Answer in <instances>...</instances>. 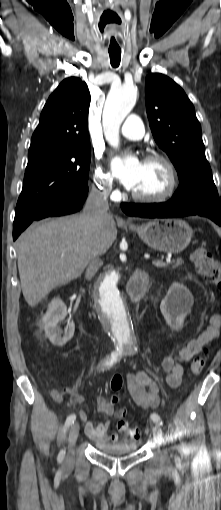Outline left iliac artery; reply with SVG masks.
I'll use <instances>...</instances> for the list:
<instances>
[{"label": "left iliac artery", "mask_w": 221, "mask_h": 510, "mask_svg": "<svg viewBox=\"0 0 221 510\" xmlns=\"http://www.w3.org/2000/svg\"><path fill=\"white\" fill-rule=\"evenodd\" d=\"M151 419L154 422L159 423L160 425H163V422L158 414H156V413L151 414Z\"/></svg>", "instance_id": "1"}]
</instances>
